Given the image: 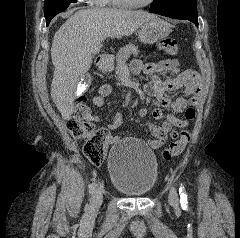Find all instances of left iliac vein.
Returning <instances> with one entry per match:
<instances>
[{
	"label": "left iliac vein",
	"mask_w": 240,
	"mask_h": 238,
	"mask_svg": "<svg viewBox=\"0 0 240 238\" xmlns=\"http://www.w3.org/2000/svg\"><path fill=\"white\" fill-rule=\"evenodd\" d=\"M168 201H169V204L172 207L178 208V206H179V195H178L175 187H171Z\"/></svg>",
	"instance_id": "1"
}]
</instances>
